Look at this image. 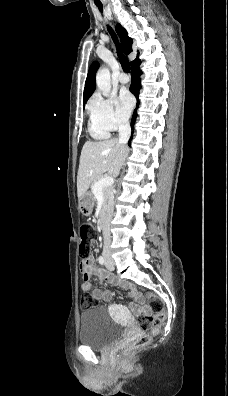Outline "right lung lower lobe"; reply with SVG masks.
<instances>
[{"label":"right lung lower lobe","mask_w":228,"mask_h":396,"mask_svg":"<svg viewBox=\"0 0 228 396\" xmlns=\"http://www.w3.org/2000/svg\"><path fill=\"white\" fill-rule=\"evenodd\" d=\"M139 66H140V60H138L135 64H133L132 68H131L132 69V72H131L132 83L130 86V91L135 95L136 98H138L139 90L141 88L140 75L142 72L140 71ZM137 108H138V105H137V107L133 113V116H132L131 127L134 126V122H135V119L137 116V114H136ZM130 144H131V141L128 142V145H130Z\"/></svg>","instance_id":"obj_1"}]
</instances>
